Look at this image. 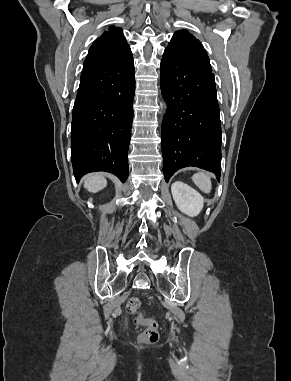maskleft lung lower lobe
<instances>
[{
  "instance_id": "obj_1",
  "label": "left lung lower lobe",
  "mask_w": 291,
  "mask_h": 381,
  "mask_svg": "<svg viewBox=\"0 0 291 381\" xmlns=\"http://www.w3.org/2000/svg\"><path fill=\"white\" fill-rule=\"evenodd\" d=\"M160 83L168 104L162 124L165 181L187 166L214 172L219 180L222 132L214 74L165 49Z\"/></svg>"
}]
</instances>
